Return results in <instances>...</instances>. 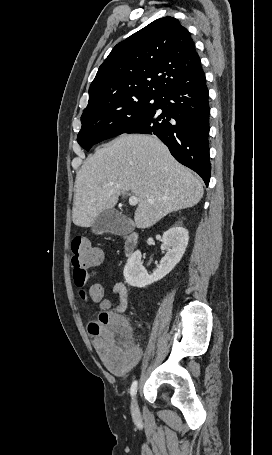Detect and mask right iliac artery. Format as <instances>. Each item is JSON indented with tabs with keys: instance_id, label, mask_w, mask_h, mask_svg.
I'll list each match as a JSON object with an SVG mask.
<instances>
[{
	"instance_id": "right-iliac-artery-1",
	"label": "right iliac artery",
	"mask_w": 272,
	"mask_h": 455,
	"mask_svg": "<svg viewBox=\"0 0 272 455\" xmlns=\"http://www.w3.org/2000/svg\"><path fill=\"white\" fill-rule=\"evenodd\" d=\"M136 392H137V381H134V382L132 383L131 388H130L131 396H132V397L135 396Z\"/></svg>"
}]
</instances>
